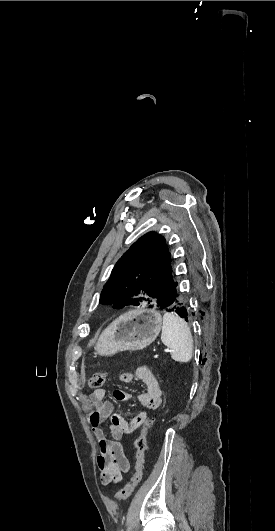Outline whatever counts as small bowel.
Returning <instances> with one entry per match:
<instances>
[{
    "label": "small bowel",
    "mask_w": 275,
    "mask_h": 531,
    "mask_svg": "<svg viewBox=\"0 0 275 531\" xmlns=\"http://www.w3.org/2000/svg\"><path fill=\"white\" fill-rule=\"evenodd\" d=\"M118 379L124 384H129L133 380L141 381L145 386V391L137 395L136 398L139 403L152 411L161 407L162 390L160 383L147 366L138 367L134 374L122 372ZM132 398L133 395L127 392L122 395L121 400L129 401ZM87 401L91 407L87 420L98 443L97 465L101 473V480L106 485L119 483L130 468L129 458L119 441L126 434L142 426L143 418L150 417L146 411H141L130 421L125 420L115 412L114 404L106 400V390L103 388L95 390L87 398ZM106 430L111 438L106 436Z\"/></svg>",
    "instance_id": "1"
}]
</instances>
